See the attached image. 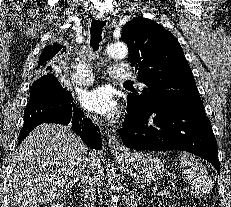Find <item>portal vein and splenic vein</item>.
Segmentation results:
<instances>
[{"mask_svg": "<svg viewBox=\"0 0 231 207\" xmlns=\"http://www.w3.org/2000/svg\"><path fill=\"white\" fill-rule=\"evenodd\" d=\"M168 190H166V189H163V190H161L160 192H158V195H161V196H163V195H167L168 194Z\"/></svg>", "mask_w": 231, "mask_h": 207, "instance_id": "portal-vein-and-splenic-vein-1", "label": "portal vein and splenic vein"}]
</instances>
